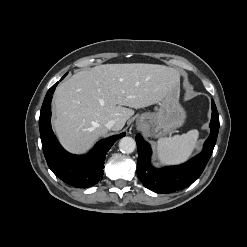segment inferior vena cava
I'll list each match as a JSON object with an SVG mask.
<instances>
[{
  "label": "inferior vena cava",
  "mask_w": 247,
  "mask_h": 247,
  "mask_svg": "<svg viewBox=\"0 0 247 247\" xmlns=\"http://www.w3.org/2000/svg\"><path fill=\"white\" fill-rule=\"evenodd\" d=\"M105 127L109 130H115L117 127V122L116 120H109L106 124Z\"/></svg>",
  "instance_id": "inferior-vena-cava-1"
}]
</instances>
